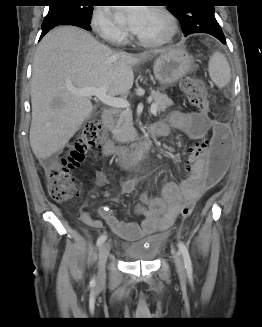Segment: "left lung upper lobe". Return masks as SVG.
Masks as SVG:
<instances>
[{
	"label": "left lung upper lobe",
	"mask_w": 262,
	"mask_h": 327,
	"mask_svg": "<svg viewBox=\"0 0 262 327\" xmlns=\"http://www.w3.org/2000/svg\"><path fill=\"white\" fill-rule=\"evenodd\" d=\"M170 0L168 10L180 20L185 36L193 33L224 35L214 15V6L207 0Z\"/></svg>",
	"instance_id": "left-lung-upper-lobe-1"
}]
</instances>
